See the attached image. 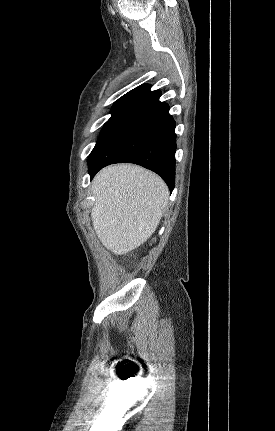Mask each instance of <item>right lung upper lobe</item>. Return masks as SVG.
Returning <instances> with one entry per match:
<instances>
[{"mask_svg":"<svg viewBox=\"0 0 275 431\" xmlns=\"http://www.w3.org/2000/svg\"><path fill=\"white\" fill-rule=\"evenodd\" d=\"M150 88L151 85L143 84L129 91L115 102L111 112L136 113L142 108L159 100L161 92L158 90L150 91Z\"/></svg>","mask_w":275,"mask_h":431,"instance_id":"cb5924a9","label":"right lung upper lobe"}]
</instances>
